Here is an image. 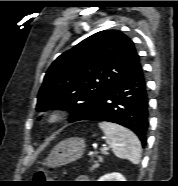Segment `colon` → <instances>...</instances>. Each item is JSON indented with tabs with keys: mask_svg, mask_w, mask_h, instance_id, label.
<instances>
[{
	"mask_svg": "<svg viewBox=\"0 0 178 186\" xmlns=\"http://www.w3.org/2000/svg\"><path fill=\"white\" fill-rule=\"evenodd\" d=\"M45 177H46V173H45L44 170H40V171H38L37 174H36V178H37L38 180L45 179Z\"/></svg>",
	"mask_w": 178,
	"mask_h": 186,
	"instance_id": "colon-1",
	"label": "colon"
}]
</instances>
